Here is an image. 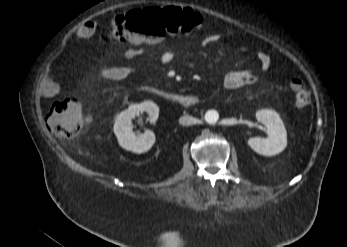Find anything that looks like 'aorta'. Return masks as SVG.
<instances>
[{"mask_svg": "<svg viewBox=\"0 0 347 247\" xmlns=\"http://www.w3.org/2000/svg\"><path fill=\"white\" fill-rule=\"evenodd\" d=\"M219 119V114L215 110H209L205 114V121L208 124H215Z\"/></svg>", "mask_w": 347, "mask_h": 247, "instance_id": "1", "label": "aorta"}]
</instances>
